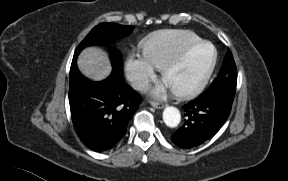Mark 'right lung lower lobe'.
<instances>
[{
  "label": "right lung lower lobe",
  "mask_w": 288,
  "mask_h": 181,
  "mask_svg": "<svg viewBox=\"0 0 288 181\" xmlns=\"http://www.w3.org/2000/svg\"><path fill=\"white\" fill-rule=\"evenodd\" d=\"M69 103L74 128L88 148L102 152L115 147L141 103L140 96L112 72L101 82L87 80L76 62L70 69Z\"/></svg>",
  "instance_id": "obj_1"
}]
</instances>
